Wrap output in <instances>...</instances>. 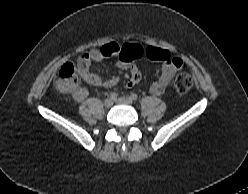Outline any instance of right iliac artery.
<instances>
[{
  "label": "right iliac artery",
  "mask_w": 248,
  "mask_h": 194,
  "mask_svg": "<svg viewBox=\"0 0 248 194\" xmlns=\"http://www.w3.org/2000/svg\"><path fill=\"white\" fill-rule=\"evenodd\" d=\"M109 97H110L112 100H116L117 97H118V94L115 93V92H112V93H110Z\"/></svg>",
  "instance_id": "obj_1"
}]
</instances>
